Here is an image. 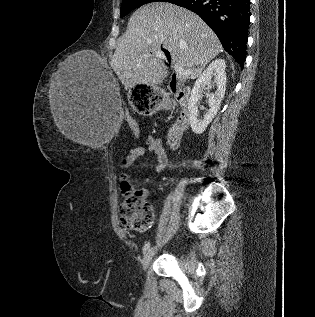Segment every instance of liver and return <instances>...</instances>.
I'll return each mask as SVG.
<instances>
[{"mask_svg": "<svg viewBox=\"0 0 315 317\" xmlns=\"http://www.w3.org/2000/svg\"><path fill=\"white\" fill-rule=\"evenodd\" d=\"M162 47L170 52L173 63L191 70L187 76L191 79L198 77L222 49L218 37L198 15L171 3L156 2L131 16L110 66L125 88L159 84L168 76ZM50 107L60 132L74 142L84 143L80 116L72 100L54 88Z\"/></svg>", "mask_w": 315, "mask_h": 317, "instance_id": "liver-1", "label": "liver"}]
</instances>
